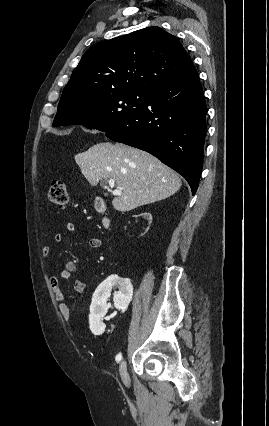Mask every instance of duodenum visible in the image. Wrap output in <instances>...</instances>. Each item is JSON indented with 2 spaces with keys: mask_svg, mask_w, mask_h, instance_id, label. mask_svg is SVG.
<instances>
[{
  "mask_svg": "<svg viewBox=\"0 0 269 426\" xmlns=\"http://www.w3.org/2000/svg\"><path fill=\"white\" fill-rule=\"evenodd\" d=\"M95 207L98 211H100L102 213H104L106 211L105 203L101 198L96 199ZM103 223H104L105 226H109V224H110V221L106 216L103 219Z\"/></svg>",
  "mask_w": 269,
  "mask_h": 426,
  "instance_id": "obj_1",
  "label": "duodenum"
}]
</instances>
